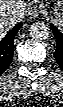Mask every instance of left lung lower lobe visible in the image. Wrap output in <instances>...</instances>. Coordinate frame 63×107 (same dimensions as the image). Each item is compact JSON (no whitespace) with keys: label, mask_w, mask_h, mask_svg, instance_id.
I'll return each mask as SVG.
<instances>
[{"label":"left lung lower lobe","mask_w":63,"mask_h":107,"mask_svg":"<svg viewBox=\"0 0 63 107\" xmlns=\"http://www.w3.org/2000/svg\"><path fill=\"white\" fill-rule=\"evenodd\" d=\"M51 29L56 39L54 57L60 68L63 69V34L53 24H51Z\"/></svg>","instance_id":"1"}]
</instances>
